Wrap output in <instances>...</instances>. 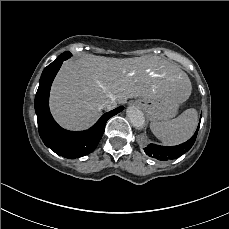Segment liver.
Returning <instances> with one entry per match:
<instances>
[{
    "label": "liver",
    "mask_w": 229,
    "mask_h": 229,
    "mask_svg": "<svg viewBox=\"0 0 229 229\" xmlns=\"http://www.w3.org/2000/svg\"><path fill=\"white\" fill-rule=\"evenodd\" d=\"M191 89L188 75L159 56L117 59L89 54L64 62L51 88L50 109L62 127L81 130L95 123L106 101L180 100Z\"/></svg>",
    "instance_id": "obj_1"
}]
</instances>
